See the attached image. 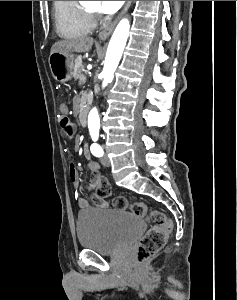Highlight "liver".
I'll return each instance as SVG.
<instances>
[{
	"mask_svg": "<svg viewBox=\"0 0 237 300\" xmlns=\"http://www.w3.org/2000/svg\"><path fill=\"white\" fill-rule=\"evenodd\" d=\"M92 37H83L75 41H58L51 47V53H87L93 45Z\"/></svg>",
	"mask_w": 237,
	"mask_h": 300,
	"instance_id": "obj_1",
	"label": "liver"
}]
</instances>
